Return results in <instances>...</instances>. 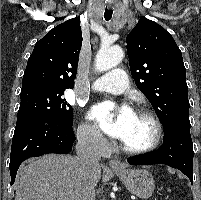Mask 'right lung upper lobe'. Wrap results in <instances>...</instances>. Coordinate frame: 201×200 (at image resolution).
Returning a JSON list of instances; mask_svg holds the SVG:
<instances>
[{"instance_id":"obj_1","label":"right lung upper lobe","mask_w":201,"mask_h":200,"mask_svg":"<svg viewBox=\"0 0 201 200\" xmlns=\"http://www.w3.org/2000/svg\"><path fill=\"white\" fill-rule=\"evenodd\" d=\"M81 46L82 32L78 18L67 20L50 30L35 44L28 59L21 93L73 88Z\"/></svg>"}]
</instances>
